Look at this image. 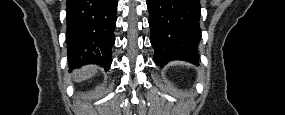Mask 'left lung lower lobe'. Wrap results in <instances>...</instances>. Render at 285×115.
<instances>
[{
	"mask_svg": "<svg viewBox=\"0 0 285 115\" xmlns=\"http://www.w3.org/2000/svg\"><path fill=\"white\" fill-rule=\"evenodd\" d=\"M147 8L155 63L160 67L172 60L197 64L200 0H147Z\"/></svg>",
	"mask_w": 285,
	"mask_h": 115,
	"instance_id": "1",
	"label": "left lung lower lobe"
}]
</instances>
